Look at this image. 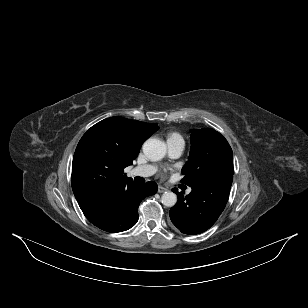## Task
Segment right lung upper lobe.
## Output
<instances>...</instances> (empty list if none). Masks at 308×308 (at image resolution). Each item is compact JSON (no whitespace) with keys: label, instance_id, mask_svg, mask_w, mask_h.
<instances>
[{"label":"right lung upper lobe","instance_id":"cb5924a9","mask_svg":"<svg viewBox=\"0 0 308 308\" xmlns=\"http://www.w3.org/2000/svg\"><path fill=\"white\" fill-rule=\"evenodd\" d=\"M158 128L157 124L116 116L98 122L83 135L73 157L71 176L81 210L114 198L134 183L123 170Z\"/></svg>","mask_w":308,"mask_h":308}]
</instances>
